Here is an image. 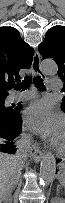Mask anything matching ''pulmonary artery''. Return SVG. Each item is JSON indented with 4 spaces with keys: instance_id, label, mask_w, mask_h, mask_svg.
I'll list each match as a JSON object with an SVG mask.
<instances>
[{
    "instance_id": "e3ab8cb5",
    "label": "pulmonary artery",
    "mask_w": 65,
    "mask_h": 203,
    "mask_svg": "<svg viewBox=\"0 0 65 203\" xmlns=\"http://www.w3.org/2000/svg\"><path fill=\"white\" fill-rule=\"evenodd\" d=\"M61 88V83L59 80L50 79L48 81V89L54 92L59 91ZM35 97V92H21V93H14L9 96L10 102H18L23 100H29Z\"/></svg>"
}]
</instances>
